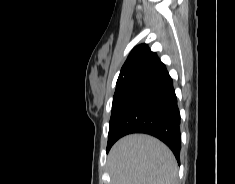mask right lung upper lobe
<instances>
[{"instance_id":"obj_1","label":"right lung upper lobe","mask_w":235,"mask_h":184,"mask_svg":"<svg viewBox=\"0 0 235 184\" xmlns=\"http://www.w3.org/2000/svg\"><path fill=\"white\" fill-rule=\"evenodd\" d=\"M160 63L156 53L147 44L136 46L122 66L116 90H127Z\"/></svg>"}]
</instances>
